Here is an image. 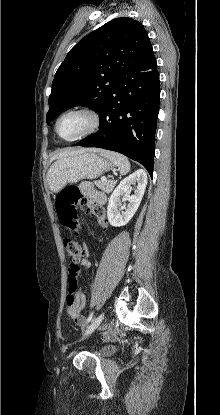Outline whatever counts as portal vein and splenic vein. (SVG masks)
I'll use <instances>...</instances> for the list:
<instances>
[{"mask_svg":"<svg viewBox=\"0 0 220 415\" xmlns=\"http://www.w3.org/2000/svg\"><path fill=\"white\" fill-rule=\"evenodd\" d=\"M101 180H102V181H106V180H107V178L103 176V177L101 178Z\"/></svg>","mask_w":220,"mask_h":415,"instance_id":"portal-vein-and-splenic-vein-1","label":"portal vein and splenic vein"}]
</instances>
